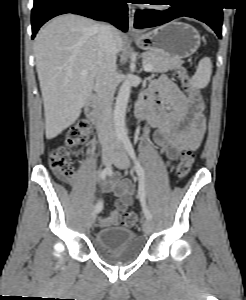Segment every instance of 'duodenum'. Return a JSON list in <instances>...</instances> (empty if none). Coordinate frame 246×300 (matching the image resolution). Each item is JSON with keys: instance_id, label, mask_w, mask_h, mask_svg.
I'll use <instances>...</instances> for the list:
<instances>
[{"instance_id": "1", "label": "duodenum", "mask_w": 246, "mask_h": 300, "mask_svg": "<svg viewBox=\"0 0 246 300\" xmlns=\"http://www.w3.org/2000/svg\"><path fill=\"white\" fill-rule=\"evenodd\" d=\"M148 112V106L143 101V99L139 100L136 105V114L139 117H143ZM86 114L89 118V120L94 125H100L105 118V110L103 105H101L100 100L98 96H93L88 101V104L86 106Z\"/></svg>"}]
</instances>
